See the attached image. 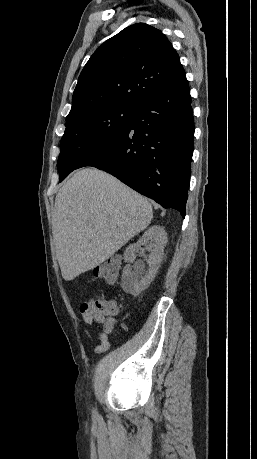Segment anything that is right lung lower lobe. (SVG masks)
I'll use <instances>...</instances> for the list:
<instances>
[{"mask_svg":"<svg viewBox=\"0 0 257 459\" xmlns=\"http://www.w3.org/2000/svg\"><path fill=\"white\" fill-rule=\"evenodd\" d=\"M194 140L186 75L136 106L128 127L83 161L185 217Z\"/></svg>","mask_w":257,"mask_h":459,"instance_id":"1","label":"right lung lower lobe"}]
</instances>
